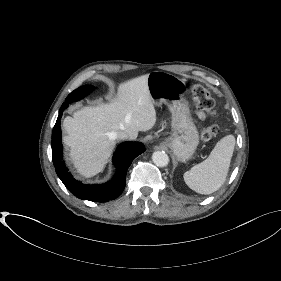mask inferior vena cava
<instances>
[{
	"label": "inferior vena cava",
	"instance_id": "inferior-vena-cava-1",
	"mask_svg": "<svg viewBox=\"0 0 281 281\" xmlns=\"http://www.w3.org/2000/svg\"><path fill=\"white\" fill-rule=\"evenodd\" d=\"M115 138H117V139H132L133 137H131L125 131H118V132L115 133Z\"/></svg>",
	"mask_w": 281,
	"mask_h": 281
}]
</instances>
